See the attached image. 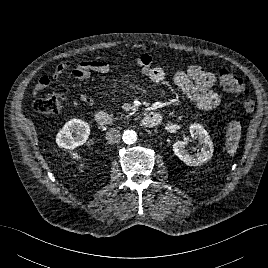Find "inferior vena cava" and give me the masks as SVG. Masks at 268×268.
<instances>
[{"label": "inferior vena cava", "mask_w": 268, "mask_h": 268, "mask_svg": "<svg viewBox=\"0 0 268 268\" xmlns=\"http://www.w3.org/2000/svg\"><path fill=\"white\" fill-rule=\"evenodd\" d=\"M106 140L109 144H115L120 141L121 133L116 128H111L106 132Z\"/></svg>", "instance_id": "1"}]
</instances>
